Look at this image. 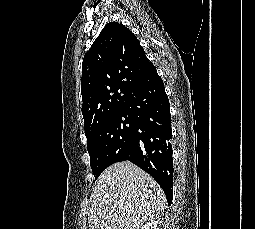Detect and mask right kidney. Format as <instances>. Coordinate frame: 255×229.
I'll list each match as a JSON object with an SVG mask.
<instances>
[{
	"mask_svg": "<svg viewBox=\"0 0 255 229\" xmlns=\"http://www.w3.org/2000/svg\"><path fill=\"white\" fill-rule=\"evenodd\" d=\"M141 229H159L158 221L151 220V222L146 223Z\"/></svg>",
	"mask_w": 255,
	"mask_h": 229,
	"instance_id": "ca27d5eb",
	"label": "right kidney"
}]
</instances>
